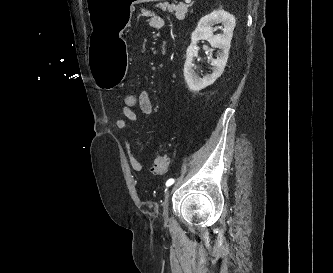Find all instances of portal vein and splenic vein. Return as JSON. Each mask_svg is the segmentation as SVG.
<instances>
[{
	"label": "portal vein and splenic vein",
	"mask_w": 333,
	"mask_h": 273,
	"mask_svg": "<svg viewBox=\"0 0 333 273\" xmlns=\"http://www.w3.org/2000/svg\"><path fill=\"white\" fill-rule=\"evenodd\" d=\"M185 2H186V3H190V2H191V0H185Z\"/></svg>",
	"instance_id": "portal-vein-and-splenic-vein-1"
}]
</instances>
